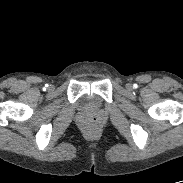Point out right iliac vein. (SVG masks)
<instances>
[{
    "mask_svg": "<svg viewBox=\"0 0 183 183\" xmlns=\"http://www.w3.org/2000/svg\"><path fill=\"white\" fill-rule=\"evenodd\" d=\"M49 89L52 90L53 89V86H50Z\"/></svg>",
    "mask_w": 183,
    "mask_h": 183,
    "instance_id": "1",
    "label": "right iliac vein"
}]
</instances>
